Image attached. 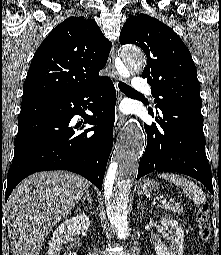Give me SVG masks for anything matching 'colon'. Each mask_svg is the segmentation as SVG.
<instances>
[{"label": "colon", "mask_w": 221, "mask_h": 255, "mask_svg": "<svg viewBox=\"0 0 221 255\" xmlns=\"http://www.w3.org/2000/svg\"><path fill=\"white\" fill-rule=\"evenodd\" d=\"M197 225L199 236L202 241H208L211 237L210 209L208 204L199 208L197 213Z\"/></svg>", "instance_id": "obj_1"}]
</instances>
